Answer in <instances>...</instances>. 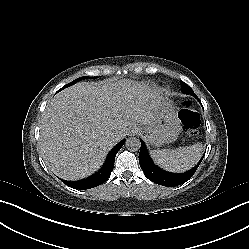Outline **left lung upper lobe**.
I'll return each instance as SVG.
<instances>
[{
    "label": "left lung upper lobe",
    "mask_w": 249,
    "mask_h": 249,
    "mask_svg": "<svg viewBox=\"0 0 249 249\" xmlns=\"http://www.w3.org/2000/svg\"><path fill=\"white\" fill-rule=\"evenodd\" d=\"M181 83V87H182V91H184V92H193L192 91V89L188 86V85H186L184 82H180Z\"/></svg>",
    "instance_id": "1"
}]
</instances>
